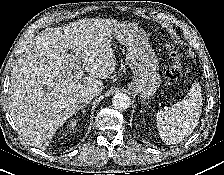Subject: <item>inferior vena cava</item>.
Masks as SVG:
<instances>
[{
  "label": "inferior vena cava",
  "mask_w": 224,
  "mask_h": 175,
  "mask_svg": "<svg viewBox=\"0 0 224 175\" xmlns=\"http://www.w3.org/2000/svg\"><path fill=\"white\" fill-rule=\"evenodd\" d=\"M95 96H97V93L94 90H85L80 94L79 101L87 103L91 101Z\"/></svg>",
  "instance_id": "inferior-vena-cava-1"
}]
</instances>
